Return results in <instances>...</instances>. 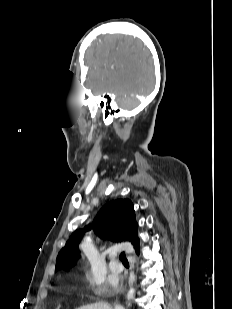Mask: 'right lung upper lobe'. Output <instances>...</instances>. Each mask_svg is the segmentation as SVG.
<instances>
[{"label":"right lung upper lobe","instance_id":"cb5924a9","mask_svg":"<svg viewBox=\"0 0 232 309\" xmlns=\"http://www.w3.org/2000/svg\"><path fill=\"white\" fill-rule=\"evenodd\" d=\"M91 229L96 230V234L103 239L113 242H131L136 253L139 254L140 240L133 203L129 199H117L102 207L92 225L72 233L58 254L56 271L67 270L76 264L80 256L81 237Z\"/></svg>","mask_w":232,"mask_h":309}]
</instances>
